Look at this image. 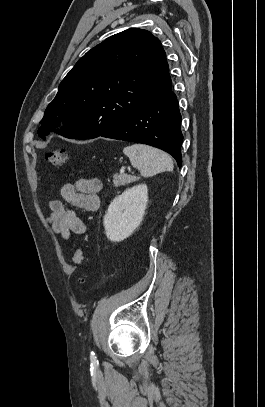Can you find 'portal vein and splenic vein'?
I'll use <instances>...</instances> for the list:
<instances>
[{"label": "portal vein and splenic vein", "instance_id": "obj_1", "mask_svg": "<svg viewBox=\"0 0 265 407\" xmlns=\"http://www.w3.org/2000/svg\"><path fill=\"white\" fill-rule=\"evenodd\" d=\"M121 172H124V168L121 169Z\"/></svg>", "mask_w": 265, "mask_h": 407}]
</instances>
